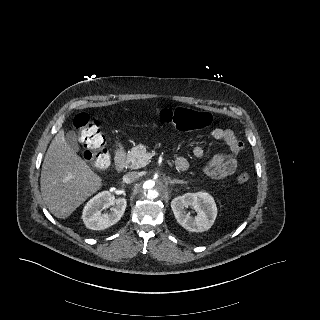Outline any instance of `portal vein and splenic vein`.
<instances>
[{"label": "portal vein and splenic vein", "mask_w": 320, "mask_h": 320, "mask_svg": "<svg viewBox=\"0 0 320 320\" xmlns=\"http://www.w3.org/2000/svg\"><path fill=\"white\" fill-rule=\"evenodd\" d=\"M151 155L147 154L145 158L150 159Z\"/></svg>", "instance_id": "18ae733b"}]
</instances>
